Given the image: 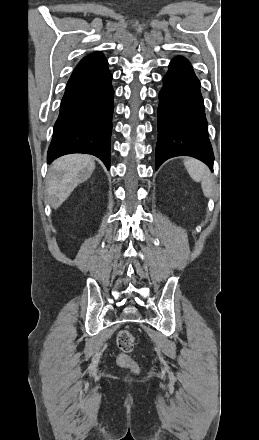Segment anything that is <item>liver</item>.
<instances>
[{"label":"liver","instance_id":"6515ba94","mask_svg":"<svg viewBox=\"0 0 259 440\" xmlns=\"http://www.w3.org/2000/svg\"><path fill=\"white\" fill-rule=\"evenodd\" d=\"M95 169L93 157L71 154L55 160L47 175V195L53 209L59 208L73 190L91 177Z\"/></svg>","mask_w":259,"mask_h":440}]
</instances>
